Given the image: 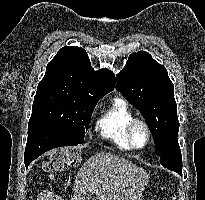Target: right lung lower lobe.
Masks as SVG:
<instances>
[{
    "mask_svg": "<svg viewBox=\"0 0 205 200\" xmlns=\"http://www.w3.org/2000/svg\"><path fill=\"white\" fill-rule=\"evenodd\" d=\"M78 144L53 124L31 117L24 155L25 166L27 168L31 161L50 149Z\"/></svg>",
    "mask_w": 205,
    "mask_h": 200,
    "instance_id": "right-lung-lower-lobe-1",
    "label": "right lung lower lobe"
}]
</instances>
